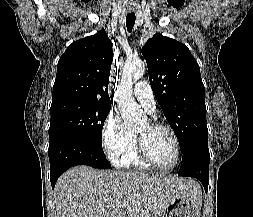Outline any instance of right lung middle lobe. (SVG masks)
Here are the masks:
<instances>
[{
  "instance_id": "right-lung-middle-lobe-1",
  "label": "right lung middle lobe",
  "mask_w": 253,
  "mask_h": 217,
  "mask_svg": "<svg viewBox=\"0 0 253 217\" xmlns=\"http://www.w3.org/2000/svg\"><path fill=\"white\" fill-rule=\"evenodd\" d=\"M111 104L92 101L66 100L51 104L50 142L77 136L102 149V129Z\"/></svg>"
}]
</instances>
